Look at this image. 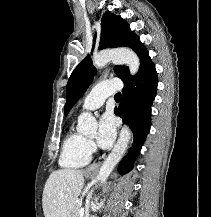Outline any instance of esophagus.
I'll use <instances>...</instances> for the list:
<instances>
[{
  "label": "esophagus",
  "mask_w": 211,
  "mask_h": 217,
  "mask_svg": "<svg viewBox=\"0 0 211 217\" xmlns=\"http://www.w3.org/2000/svg\"><path fill=\"white\" fill-rule=\"evenodd\" d=\"M100 163H94L89 166L88 171H96L99 167Z\"/></svg>",
  "instance_id": "1"
}]
</instances>
